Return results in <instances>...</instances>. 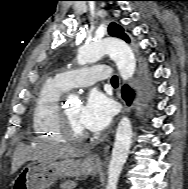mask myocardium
Segmentation results:
<instances>
[{"instance_id": "myocardium-1", "label": "myocardium", "mask_w": 188, "mask_h": 189, "mask_svg": "<svg viewBox=\"0 0 188 189\" xmlns=\"http://www.w3.org/2000/svg\"><path fill=\"white\" fill-rule=\"evenodd\" d=\"M58 120L61 132L65 139L69 141H80L88 137V133L86 131H75L72 128L65 108H60Z\"/></svg>"}]
</instances>
